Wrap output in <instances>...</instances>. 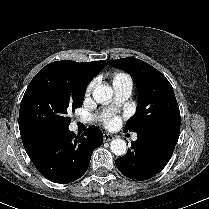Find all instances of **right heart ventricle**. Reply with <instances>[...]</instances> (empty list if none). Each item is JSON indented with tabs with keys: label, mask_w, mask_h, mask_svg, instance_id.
<instances>
[{
	"label": "right heart ventricle",
	"mask_w": 209,
	"mask_h": 209,
	"mask_svg": "<svg viewBox=\"0 0 209 209\" xmlns=\"http://www.w3.org/2000/svg\"><path fill=\"white\" fill-rule=\"evenodd\" d=\"M113 85L116 84H124V83H131L130 77L122 72H117L113 75Z\"/></svg>",
	"instance_id": "1"
}]
</instances>
